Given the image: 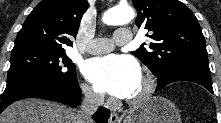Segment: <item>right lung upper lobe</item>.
I'll return each instance as SVG.
<instances>
[{"mask_svg": "<svg viewBox=\"0 0 221 123\" xmlns=\"http://www.w3.org/2000/svg\"><path fill=\"white\" fill-rule=\"evenodd\" d=\"M87 0H43L28 15L12 51L31 48L65 50L73 46Z\"/></svg>", "mask_w": 221, "mask_h": 123, "instance_id": "obj_1", "label": "right lung upper lobe"}]
</instances>
